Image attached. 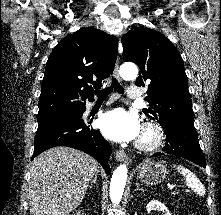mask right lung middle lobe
Instances as JSON below:
<instances>
[{"instance_id":"obj_1","label":"right lung middle lobe","mask_w":221,"mask_h":215,"mask_svg":"<svg viewBox=\"0 0 221 215\" xmlns=\"http://www.w3.org/2000/svg\"><path fill=\"white\" fill-rule=\"evenodd\" d=\"M80 111H81V109L73 111V112L61 114V115H56V116L38 117V123H41V122H44V121L53 120V119H57V118L70 117V116L76 115Z\"/></svg>"}]
</instances>
